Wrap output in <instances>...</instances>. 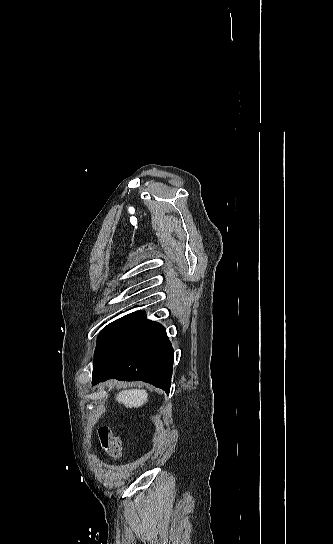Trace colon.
I'll use <instances>...</instances> for the list:
<instances>
[{
	"label": "colon",
	"instance_id": "1",
	"mask_svg": "<svg viewBox=\"0 0 333 544\" xmlns=\"http://www.w3.org/2000/svg\"><path fill=\"white\" fill-rule=\"evenodd\" d=\"M98 437L102 448L113 458H118L121 454V440L113 431L107 427L98 430Z\"/></svg>",
	"mask_w": 333,
	"mask_h": 544
}]
</instances>
